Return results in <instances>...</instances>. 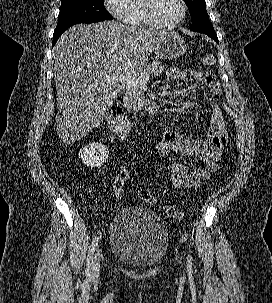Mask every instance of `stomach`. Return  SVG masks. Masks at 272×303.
I'll use <instances>...</instances> for the list:
<instances>
[{"instance_id": "stomach-1", "label": "stomach", "mask_w": 272, "mask_h": 303, "mask_svg": "<svg viewBox=\"0 0 272 303\" xmlns=\"http://www.w3.org/2000/svg\"><path fill=\"white\" fill-rule=\"evenodd\" d=\"M187 49V44L176 32H169L155 49L160 59H175L182 56Z\"/></svg>"}]
</instances>
